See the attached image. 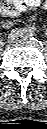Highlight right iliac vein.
I'll return each instance as SVG.
<instances>
[{"label": "right iliac vein", "mask_w": 47, "mask_h": 129, "mask_svg": "<svg viewBox=\"0 0 47 129\" xmlns=\"http://www.w3.org/2000/svg\"><path fill=\"white\" fill-rule=\"evenodd\" d=\"M24 33V30L22 29H14L10 32V34L8 35L7 41L8 42H14L16 41L18 38L22 37Z\"/></svg>", "instance_id": "1"}]
</instances>
